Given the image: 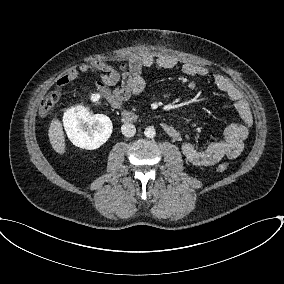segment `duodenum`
<instances>
[{
	"mask_svg": "<svg viewBox=\"0 0 284 284\" xmlns=\"http://www.w3.org/2000/svg\"><path fill=\"white\" fill-rule=\"evenodd\" d=\"M121 118L124 123H135L139 120V116L132 111L121 109ZM162 129L169 137H176L178 130L169 124H163Z\"/></svg>",
	"mask_w": 284,
	"mask_h": 284,
	"instance_id": "obj_1",
	"label": "duodenum"
}]
</instances>
